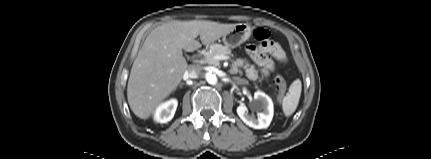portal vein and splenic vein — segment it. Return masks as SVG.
Masks as SVG:
<instances>
[{
    "instance_id": "portal-vein-and-splenic-vein-1",
    "label": "portal vein and splenic vein",
    "mask_w": 431,
    "mask_h": 159,
    "mask_svg": "<svg viewBox=\"0 0 431 159\" xmlns=\"http://www.w3.org/2000/svg\"><path fill=\"white\" fill-rule=\"evenodd\" d=\"M213 59L214 60H227V59H229V57L228 56H225V55H222V54H220V55H215L214 57H213Z\"/></svg>"
}]
</instances>
